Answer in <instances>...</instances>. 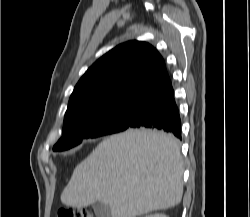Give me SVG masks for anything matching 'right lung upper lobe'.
I'll use <instances>...</instances> for the list:
<instances>
[{"instance_id":"1","label":"right lung upper lobe","mask_w":250,"mask_h":217,"mask_svg":"<svg viewBox=\"0 0 250 217\" xmlns=\"http://www.w3.org/2000/svg\"><path fill=\"white\" fill-rule=\"evenodd\" d=\"M165 63L148 43H123L97 60L81 77L70 96L64 121L79 114L127 102L169 82Z\"/></svg>"}]
</instances>
